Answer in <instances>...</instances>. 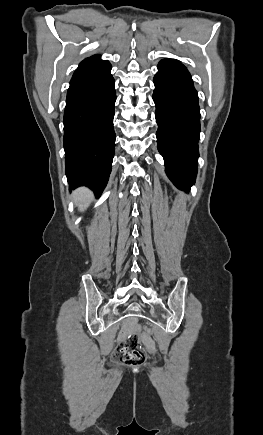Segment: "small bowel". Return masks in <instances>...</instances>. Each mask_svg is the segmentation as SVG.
<instances>
[{"mask_svg":"<svg viewBox=\"0 0 263 435\" xmlns=\"http://www.w3.org/2000/svg\"><path fill=\"white\" fill-rule=\"evenodd\" d=\"M145 348H146L147 350H152V349L154 348V343H153L152 341H147V342L145 343Z\"/></svg>","mask_w":263,"mask_h":435,"instance_id":"small-bowel-1","label":"small bowel"}]
</instances>
